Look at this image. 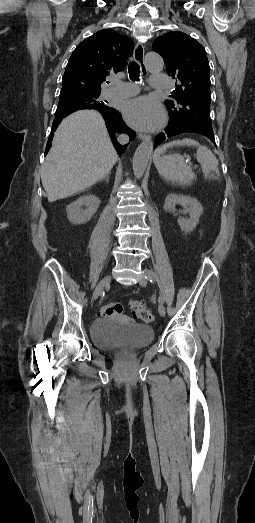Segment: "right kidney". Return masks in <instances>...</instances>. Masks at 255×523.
Instances as JSON below:
<instances>
[{"mask_svg": "<svg viewBox=\"0 0 255 523\" xmlns=\"http://www.w3.org/2000/svg\"><path fill=\"white\" fill-rule=\"evenodd\" d=\"M81 206H86L87 210H81ZM100 206V200L93 194L81 196L76 202H72L67 206V218L72 224H85L91 220L93 214H96Z\"/></svg>", "mask_w": 255, "mask_h": 523, "instance_id": "ca27d5eb", "label": "right kidney"}]
</instances>
